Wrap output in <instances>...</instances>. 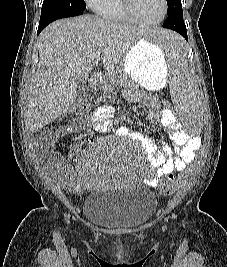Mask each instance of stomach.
I'll use <instances>...</instances> for the list:
<instances>
[{
    "mask_svg": "<svg viewBox=\"0 0 227 267\" xmlns=\"http://www.w3.org/2000/svg\"><path fill=\"white\" fill-rule=\"evenodd\" d=\"M122 68L132 80L149 90H159L167 81L166 55L157 43L146 41V37L131 47L122 61Z\"/></svg>",
    "mask_w": 227,
    "mask_h": 267,
    "instance_id": "stomach-1",
    "label": "stomach"
}]
</instances>
